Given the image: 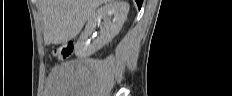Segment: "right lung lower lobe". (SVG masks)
I'll return each instance as SVG.
<instances>
[{"label": "right lung lower lobe", "mask_w": 232, "mask_h": 96, "mask_svg": "<svg viewBox=\"0 0 232 96\" xmlns=\"http://www.w3.org/2000/svg\"><path fill=\"white\" fill-rule=\"evenodd\" d=\"M135 1H136L137 5H138V8L140 9L141 6H142L143 0H135Z\"/></svg>", "instance_id": "obj_1"}]
</instances>
